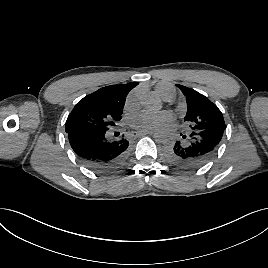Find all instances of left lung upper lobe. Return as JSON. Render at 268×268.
I'll return each mask as SVG.
<instances>
[{
    "label": "left lung upper lobe",
    "instance_id": "left-lung-upper-lobe-1",
    "mask_svg": "<svg viewBox=\"0 0 268 268\" xmlns=\"http://www.w3.org/2000/svg\"><path fill=\"white\" fill-rule=\"evenodd\" d=\"M187 101V113L184 120L191 131L225 129L223 115L219 108L199 92L177 84Z\"/></svg>",
    "mask_w": 268,
    "mask_h": 268
}]
</instances>
